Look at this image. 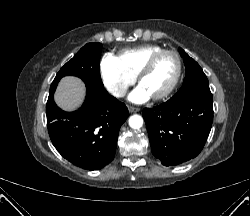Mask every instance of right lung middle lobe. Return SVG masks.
<instances>
[{"instance_id": "dd1d6c3e", "label": "right lung middle lobe", "mask_w": 250, "mask_h": 216, "mask_svg": "<svg viewBox=\"0 0 250 216\" xmlns=\"http://www.w3.org/2000/svg\"><path fill=\"white\" fill-rule=\"evenodd\" d=\"M102 44L88 43L57 73L50 90L55 91L60 79L67 75L81 78L86 85L104 88L99 66Z\"/></svg>"}]
</instances>
